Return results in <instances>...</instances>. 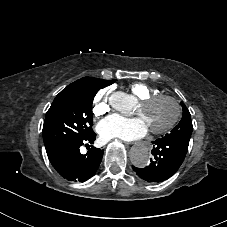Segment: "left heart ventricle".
<instances>
[{
  "label": "left heart ventricle",
  "instance_id": "obj_1",
  "mask_svg": "<svg viewBox=\"0 0 227 227\" xmlns=\"http://www.w3.org/2000/svg\"><path fill=\"white\" fill-rule=\"evenodd\" d=\"M174 106L168 100H161L143 110L138 109L136 115L144 120L148 128H162L172 118Z\"/></svg>",
  "mask_w": 227,
  "mask_h": 227
}]
</instances>
